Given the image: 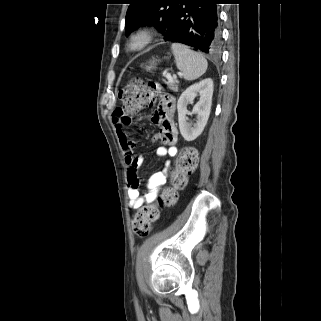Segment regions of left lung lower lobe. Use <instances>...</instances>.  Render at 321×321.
<instances>
[{"label":"left lung lower lobe","mask_w":321,"mask_h":321,"mask_svg":"<svg viewBox=\"0 0 321 321\" xmlns=\"http://www.w3.org/2000/svg\"><path fill=\"white\" fill-rule=\"evenodd\" d=\"M221 0H179L164 34V40L182 43L208 54L221 47L216 4Z\"/></svg>","instance_id":"1"}]
</instances>
